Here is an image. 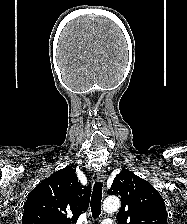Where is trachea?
Returning <instances> with one entry per match:
<instances>
[{"label":"trachea","mask_w":187,"mask_h":224,"mask_svg":"<svg viewBox=\"0 0 187 224\" xmlns=\"http://www.w3.org/2000/svg\"><path fill=\"white\" fill-rule=\"evenodd\" d=\"M102 186V182H95L93 186L90 206L94 219L98 218L101 214Z\"/></svg>","instance_id":"trachea-1"}]
</instances>
